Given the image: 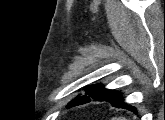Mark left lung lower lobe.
<instances>
[{
    "mask_svg": "<svg viewBox=\"0 0 165 120\" xmlns=\"http://www.w3.org/2000/svg\"><path fill=\"white\" fill-rule=\"evenodd\" d=\"M94 100H96V99H94ZM102 101H108L114 107L125 108V109L133 111L134 113H137V109L136 108L131 107L130 105H128L127 103L122 101V97H121L119 92H114L112 95H110L109 97H107L106 99H104Z\"/></svg>",
    "mask_w": 165,
    "mask_h": 120,
    "instance_id": "1",
    "label": "left lung lower lobe"
}]
</instances>
